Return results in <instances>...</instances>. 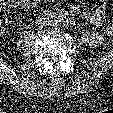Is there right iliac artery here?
<instances>
[{
	"label": "right iliac artery",
	"instance_id": "right-iliac-artery-1",
	"mask_svg": "<svg viewBox=\"0 0 113 113\" xmlns=\"http://www.w3.org/2000/svg\"><path fill=\"white\" fill-rule=\"evenodd\" d=\"M56 15H58V17H61L62 19L63 18H66V14L64 13V12H57V13H55ZM50 15L52 16V13H50ZM42 19H45V17L44 16H39L37 19H36V21H35V24H41V21H42Z\"/></svg>",
	"mask_w": 113,
	"mask_h": 113
}]
</instances>
